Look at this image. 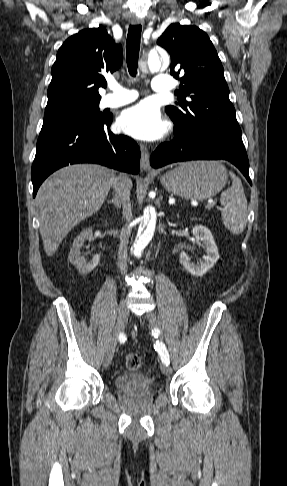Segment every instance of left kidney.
Here are the masks:
<instances>
[{"mask_svg": "<svg viewBox=\"0 0 287 486\" xmlns=\"http://www.w3.org/2000/svg\"><path fill=\"white\" fill-rule=\"evenodd\" d=\"M193 235L196 242L205 248L206 256L200 263H192L190 257L185 253L180 254V263L183 267L194 276H203L218 261L219 253L211 231L203 226L196 225L193 227Z\"/></svg>", "mask_w": 287, "mask_h": 486, "instance_id": "1", "label": "left kidney"}]
</instances>
